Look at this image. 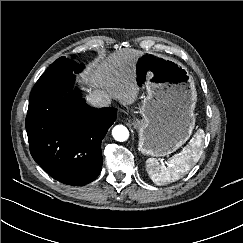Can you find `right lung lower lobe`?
<instances>
[{"mask_svg":"<svg viewBox=\"0 0 243 243\" xmlns=\"http://www.w3.org/2000/svg\"><path fill=\"white\" fill-rule=\"evenodd\" d=\"M74 80V73L42 74L30 94L26 131L33 159L54 179L79 186L100 174L101 142L117 110L89 107L72 90Z\"/></svg>","mask_w":243,"mask_h":243,"instance_id":"right-lung-lower-lobe-1","label":"right lung lower lobe"}]
</instances>
